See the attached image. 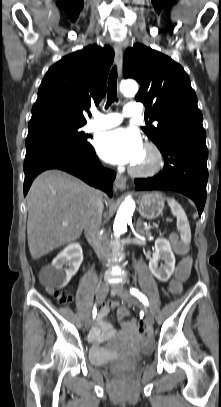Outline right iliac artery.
I'll use <instances>...</instances> for the list:
<instances>
[{"mask_svg":"<svg viewBox=\"0 0 221 407\" xmlns=\"http://www.w3.org/2000/svg\"><path fill=\"white\" fill-rule=\"evenodd\" d=\"M97 314V309H96V306H94V309H93V316H95Z\"/></svg>","mask_w":221,"mask_h":407,"instance_id":"obj_1","label":"right iliac artery"}]
</instances>
